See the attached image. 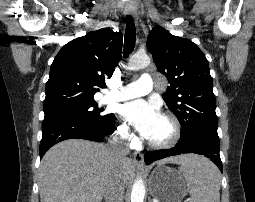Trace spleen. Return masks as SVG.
Returning <instances> with one entry per match:
<instances>
[{
  "label": "spleen",
  "mask_w": 255,
  "mask_h": 202,
  "mask_svg": "<svg viewBox=\"0 0 255 202\" xmlns=\"http://www.w3.org/2000/svg\"><path fill=\"white\" fill-rule=\"evenodd\" d=\"M179 170L192 202H220L221 175L208 159L193 155Z\"/></svg>",
  "instance_id": "spleen-1"
}]
</instances>
